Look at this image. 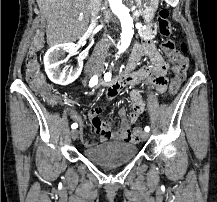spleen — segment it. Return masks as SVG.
Returning a JSON list of instances; mask_svg holds the SVG:
<instances>
[{"label":"spleen","mask_w":217,"mask_h":202,"mask_svg":"<svg viewBox=\"0 0 217 202\" xmlns=\"http://www.w3.org/2000/svg\"><path fill=\"white\" fill-rule=\"evenodd\" d=\"M167 5H177V0H167Z\"/></svg>","instance_id":"1"}]
</instances>
